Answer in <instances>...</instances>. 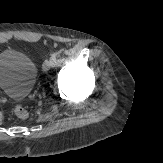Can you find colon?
<instances>
[{
  "label": "colon",
  "mask_w": 163,
  "mask_h": 163,
  "mask_svg": "<svg viewBox=\"0 0 163 163\" xmlns=\"http://www.w3.org/2000/svg\"><path fill=\"white\" fill-rule=\"evenodd\" d=\"M13 112L15 114V116H17L20 119H24L28 117V110L22 106H16L13 109Z\"/></svg>",
  "instance_id": "colon-1"
}]
</instances>
